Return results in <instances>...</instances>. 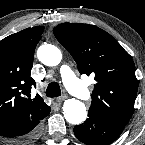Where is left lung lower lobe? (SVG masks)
I'll use <instances>...</instances> for the list:
<instances>
[{"label":"left lung lower lobe","instance_id":"left-lung-lower-lobe-1","mask_svg":"<svg viewBox=\"0 0 145 145\" xmlns=\"http://www.w3.org/2000/svg\"><path fill=\"white\" fill-rule=\"evenodd\" d=\"M89 118L74 127L76 137L87 145H108L115 141L125 126L89 113Z\"/></svg>","mask_w":145,"mask_h":145}]
</instances>
